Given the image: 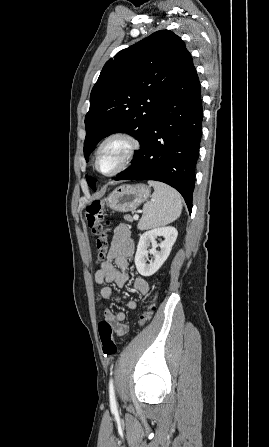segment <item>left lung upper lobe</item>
Listing matches in <instances>:
<instances>
[{"label":"left lung upper lobe","mask_w":269,"mask_h":447,"mask_svg":"<svg viewBox=\"0 0 269 447\" xmlns=\"http://www.w3.org/2000/svg\"><path fill=\"white\" fill-rule=\"evenodd\" d=\"M187 52L180 37L160 30L106 62L91 91L85 116L86 161L97 143L112 133L130 134L143 146ZM86 179L96 190V179Z\"/></svg>","instance_id":"5c2ea615"}]
</instances>
